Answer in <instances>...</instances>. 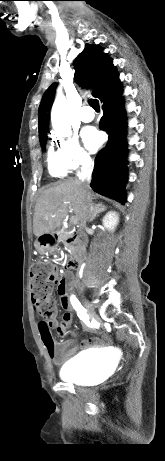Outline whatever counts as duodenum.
Wrapping results in <instances>:
<instances>
[{
  "label": "duodenum",
  "instance_id": "obj_1",
  "mask_svg": "<svg viewBox=\"0 0 165 461\" xmlns=\"http://www.w3.org/2000/svg\"><path fill=\"white\" fill-rule=\"evenodd\" d=\"M53 237L63 238L68 244H73L75 246V253L72 260L69 262V267L71 269H78L80 263L82 262L85 254V243L81 236L77 233H72L69 235H65V233L61 230H57L55 232L48 233L45 238L53 243ZM68 287V283H67Z\"/></svg>",
  "mask_w": 165,
  "mask_h": 461
}]
</instances>
